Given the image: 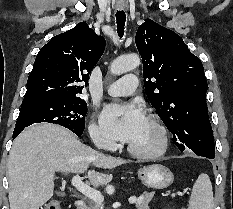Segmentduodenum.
<instances>
[{"instance_id":"410a0bca","label":"duodenum","mask_w":233,"mask_h":209,"mask_svg":"<svg viewBox=\"0 0 233 209\" xmlns=\"http://www.w3.org/2000/svg\"><path fill=\"white\" fill-rule=\"evenodd\" d=\"M75 207L76 209H85L86 205L85 202L81 199H78L75 201Z\"/></svg>"}]
</instances>
